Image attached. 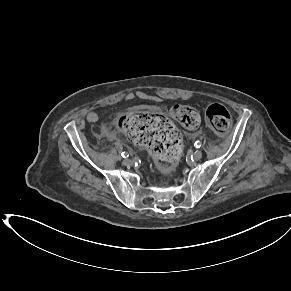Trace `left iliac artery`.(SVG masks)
<instances>
[{"label": "left iliac artery", "mask_w": 291, "mask_h": 291, "mask_svg": "<svg viewBox=\"0 0 291 291\" xmlns=\"http://www.w3.org/2000/svg\"><path fill=\"white\" fill-rule=\"evenodd\" d=\"M194 146H195L196 148H200V147H201V142H200V141H196V142L194 143Z\"/></svg>", "instance_id": "left-iliac-artery-1"}]
</instances>
